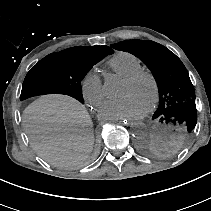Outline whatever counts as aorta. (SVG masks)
Returning <instances> with one entry per match:
<instances>
[{"mask_svg":"<svg viewBox=\"0 0 211 211\" xmlns=\"http://www.w3.org/2000/svg\"><path fill=\"white\" fill-rule=\"evenodd\" d=\"M123 88L122 81L115 76L106 78L103 85L105 96L110 99L118 97L123 92ZM130 131L136 139H143L148 134L146 125L140 121L132 123Z\"/></svg>","mask_w":211,"mask_h":211,"instance_id":"1","label":"aorta"}]
</instances>
